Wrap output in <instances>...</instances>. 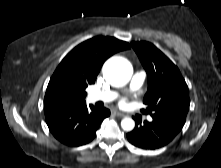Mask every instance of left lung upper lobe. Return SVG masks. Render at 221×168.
Here are the masks:
<instances>
[{"label":"left lung upper lobe","instance_id":"left-lung-upper-lobe-1","mask_svg":"<svg viewBox=\"0 0 221 168\" xmlns=\"http://www.w3.org/2000/svg\"><path fill=\"white\" fill-rule=\"evenodd\" d=\"M148 78L144 113L183 127L189 110L188 86L178 67L149 42H132Z\"/></svg>","mask_w":221,"mask_h":168}]
</instances>
